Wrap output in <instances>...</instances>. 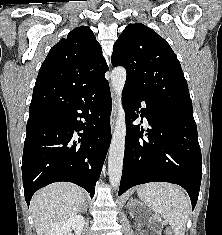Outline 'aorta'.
<instances>
[{
    "mask_svg": "<svg viewBox=\"0 0 222 235\" xmlns=\"http://www.w3.org/2000/svg\"><path fill=\"white\" fill-rule=\"evenodd\" d=\"M126 75L124 67H115L111 72V84L116 94L117 119L109 149L108 176L111 186L115 189L120 185L125 150L126 123L122 105V91Z\"/></svg>",
    "mask_w": 222,
    "mask_h": 235,
    "instance_id": "762f6f07",
    "label": "aorta"
}]
</instances>
